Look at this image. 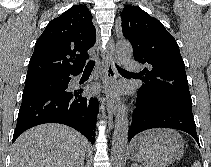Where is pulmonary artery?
<instances>
[{"instance_id":"1","label":"pulmonary artery","mask_w":211,"mask_h":167,"mask_svg":"<svg viewBox=\"0 0 211 167\" xmlns=\"http://www.w3.org/2000/svg\"><path fill=\"white\" fill-rule=\"evenodd\" d=\"M124 66L129 70H135L137 69V63L133 59H125L124 60Z\"/></svg>"}]
</instances>
